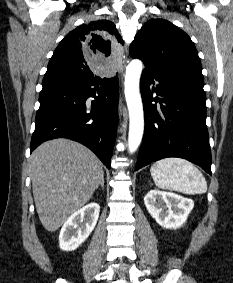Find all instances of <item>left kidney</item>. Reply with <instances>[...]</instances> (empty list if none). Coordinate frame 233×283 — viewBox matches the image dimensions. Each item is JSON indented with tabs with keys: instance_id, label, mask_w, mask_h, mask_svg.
<instances>
[{
	"instance_id": "1",
	"label": "left kidney",
	"mask_w": 233,
	"mask_h": 283,
	"mask_svg": "<svg viewBox=\"0 0 233 283\" xmlns=\"http://www.w3.org/2000/svg\"><path fill=\"white\" fill-rule=\"evenodd\" d=\"M144 203L150 215L166 229L180 228L194 207L191 199L159 190L149 191Z\"/></svg>"
}]
</instances>
